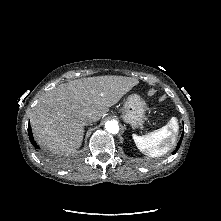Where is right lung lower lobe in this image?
<instances>
[{"instance_id": "1", "label": "right lung lower lobe", "mask_w": 221, "mask_h": 221, "mask_svg": "<svg viewBox=\"0 0 221 221\" xmlns=\"http://www.w3.org/2000/svg\"><path fill=\"white\" fill-rule=\"evenodd\" d=\"M28 134H29V139H30L31 143L33 144V146H34L35 148H38V149H39V147L37 146L36 142L34 141V138H33L32 132H31V127H30V125H28Z\"/></svg>"}]
</instances>
